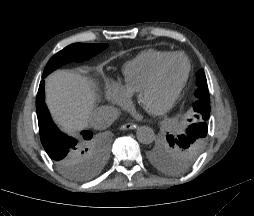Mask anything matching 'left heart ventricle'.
Wrapping results in <instances>:
<instances>
[{"instance_id":"b2bd125f","label":"left heart ventricle","mask_w":254,"mask_h":216,"mask_svg":"<svg viewBox=\"0 0 254 216\" xmlns=\"http://www.w3.org/2000/svg\"><path fill=\"white\" fill-rule=\"evenodd\" d=\"M186 69V62L181 57L170 60L161 70L156 84L145 92L141 103L152 110L163 106L181 81Z\"/></svg>"}]
</instances>
